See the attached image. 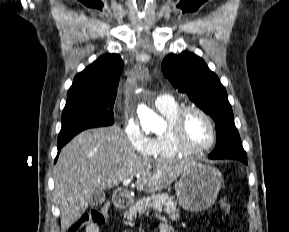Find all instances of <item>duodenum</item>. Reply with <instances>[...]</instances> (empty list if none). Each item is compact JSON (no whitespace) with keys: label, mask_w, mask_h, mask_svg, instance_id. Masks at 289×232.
Instances as JSON below:
<instances>
[{"label":"duodenum","mask_w":289,"mask_h":232,"mask_svg":"<svg viewBox=\"0 0 289 232\" xmlns=\"http://www.w3.org/2000/svg\"><path fill=\"white\" fill-rule=\"evenodd\" d=\"M130 201V195L124 189H118L113 194V203L118 209L125 208L127 205H129Z\"/></svg>","instance_id":"duodenum-1"}]
</instances>
